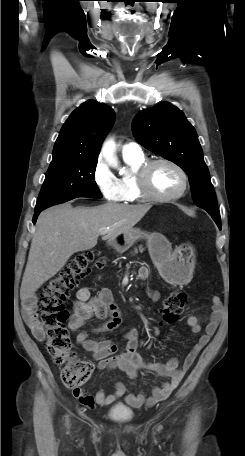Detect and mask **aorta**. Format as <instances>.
I'll return each mask as SVG.
<instances>
[{
	"label": "aorta",
	"instance_id": "762f6f07",
	"mask_svg": "<svg viewBox=\"0 0 245 456\" xmlns=\"http://www.w3.org/2000/svg\"><path fill=\"white\" fill-rule=\"evenodd\" d=\"M115 148V143L113 140L107 141L104 146H103V155L108 161L109 165H111L114 168H118V159L117 157L113 154Z\"/></svg>",
	"mask_w": 245,
	"mask_h": 456
}]
</instances>
